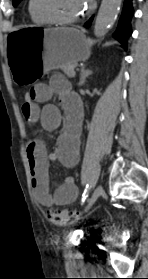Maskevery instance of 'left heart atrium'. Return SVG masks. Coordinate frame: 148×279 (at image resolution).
Returning a JSON list of instances; mask_svg holds the SVG:
<instances>
[{"mask_svg": "<svg viewBox=\"0 0 148 279\" xmlns=\"http://www.w3.org/2000/svg\"><path fill=\"white\" fill-rule=\"evenodd\" d=\"M81 1H82L83 8L90 7L93 3V0H81Z\"/></svg>", "mask_w": 148, "mask_h": 279, "instance_id": "left-heart-atrium-1", "label": "left heart atrium"}]
</instances>
